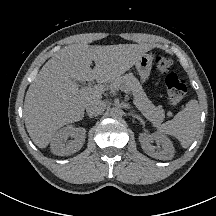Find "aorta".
Returning <instances> with one entry per match:
<instances>
[{
  "label": "aorta",
  "mask_w": 216,
  "mask_h": 216,
  "mask_svg": "<svg viewBox=\"0 0 216 216\" xmlns=\"http://www.w3.org/2000/svg\"><path fill=\"white\" fill-rule=\"evenodd\" d=\"M122 115H123V110L121 108H119V107H113V108H111V110H110V116L112 118L117 119V118L122 117Z\"/></svg>",
  "instance_id": "762f6f07"
}]
</instances>
